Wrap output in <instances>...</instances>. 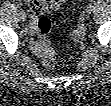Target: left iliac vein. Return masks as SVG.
<instances>
[{
    "mask_svg": "<svg viewBox=\"0 0 111 106\" xmlns=\"http://www.w3.org/2000/svg\"><path fill=\"white\" fill-rule=\"evenodd\" d=\"M92 10H93L92 4L87 5L85 8L86 13H90Z\"/></svg>",
    "mask_w": 111,
    "mask_h": 106,
    "instance_id": "left-iliac-vein-1",
    "label": "left iliac vein"
}]
</instances>
